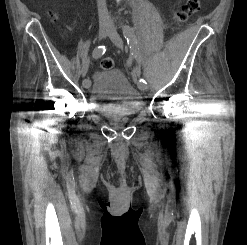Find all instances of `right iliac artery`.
Segmentation results:
<instances>
[{
  "mask_svg": "<svg viewBox=\"0 0 247 245\" xmlns=\"http://www.w3.org/2000/svg\"><path fill=\"white\" fill-rule=\"evenodd\" d=\"M106 51V46L105 45H100L98 47H96L93 52H92V57L95 58V59H98L100 58ZM82 70L80 72V78L82 81H85L86 80V77L87 76V71L89 69V61L86 60L85 62H83L82 64Z\"/></svg>",
  "mask_w": 247,
  "mask_h": 245,
  "instance_id": "right-iliac-artery-1",
  "label": "right iliac artery"
}]
</instances>
